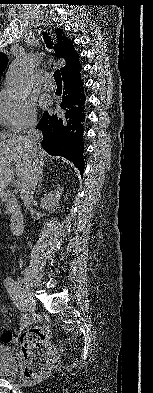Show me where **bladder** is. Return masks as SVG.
<instances>
[{
    "mask_svg": "<svg viewBox=\"0 0 153 393\" xmlns=\"http://www.w3.org/2000/svg\"><path fill=\"white\" fill-rule=\"evenodd\" d=\"M15 366L11 350L0 346V375H9Z\"/></svg>",
    "mask_w": 153,
    "mask_h": 393,
    "instance_id": "bladder-1",
    "label": "bladder"
}]
</instances>
